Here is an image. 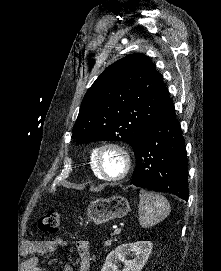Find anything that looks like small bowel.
Here are the masks:
<instances>
[{
  "label": "small bowel",
  "instance_id": "small-bowel-1",
  "mask_svg": "<svg viewBox=\"0 0 221 271\" xmlns=\"http://www.w3.org/2000/svg\"><path fill=\"white\" fill-rule=\"evenodd\" d=\"M75 244L79 256V271H90L91 256L89 242L85 239H78ZM65 245L66 241L62 238L27 241V248L35 254L27 262L28 268L31 271H41L37 267L39 256L54 253L59 247ZM62 271H73V267L67 264L62 268Z\"/></svg>",
  "mask_w": 221,
  "mask_h": 271
}]
</instances>
